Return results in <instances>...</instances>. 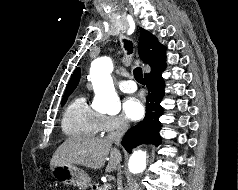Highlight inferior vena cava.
Masks as SVG:
<instances>
[{"mask_svg":"<svg viewBox=\"0 0 238 190\" xmlns=\"http://www.w3.org/2000/svg\"><path fill=\"white\" fill-rule=\"evenodd\" d=\"M128 121L125 118H122L119 122V126L117 128L116 131L111 132L108 135V139L112 142H114L115 144L119 145L121 142V139L123 137V135L125 134V132L128 129ZM121 185H122V181H121V177H119L118 179V189L121 190Z\"/></svg>","mask_w":238,"mask_h":190,"instance_id":"inferior-vena-cava-1","label":"inferior vena cava"}]
</instances>
